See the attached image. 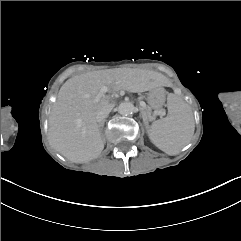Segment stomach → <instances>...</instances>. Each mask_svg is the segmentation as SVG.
<instances>
[{"instance_id": "stomach-1", "label": "stomach", "mask_w": 241, "mask_h": 241, "mask_svg": "<svg viewBox=\"0 0 241 241\" xmlns=\"http://www.w3.org/2000/svg\"><path fill=\"white\" fill-rule=\"evenodd\" d=\"M147 101L151 108H162L165 103V91L162 88L150 91L148 93Z\"/></svg>"}]
</instances>
